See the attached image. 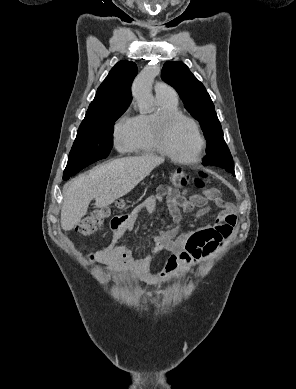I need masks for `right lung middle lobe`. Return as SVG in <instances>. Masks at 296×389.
<instances>
[{"mask_svg": "<svg viewBox=\"0 0 296 389\" xmlns=\"http://www.w3.org/2000/svg\"><path fill=\"white\" fill-rule=\"evenodd\" d=\"M127 107L84 118L70 151L64 173L80 171L86 166L106 158L113 145V126Z\"/></svg>", "mask_w": 296, "mask_h": 389, "instance_id": "obj_1", "label": "right lung middle lobe"}]
</instances>
